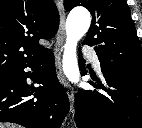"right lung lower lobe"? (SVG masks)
I'll use <instances>...</instances> for the list:
<instances>
[{
  "label": "right lung lower lobe",
  "instance_id": "obj_1",
  "mask_svg": "<svg viewBox=\"0 0 142 128\" xmlns=\"http://www.w3.org/2000/svg\"><path fill=\"white\" fill-rule=\"evenodd\" d=\"M26 67L36 70V75L32 77L30 72H25ZM27 78L40 86H29ZM69 107L50 50L0 82V122L17 123L27 128H60Z\"/></svg>",
  "mask_w": 142,
  "mask_h": 128
}]
</instances>
